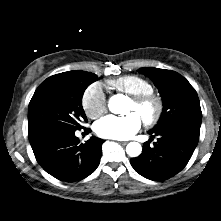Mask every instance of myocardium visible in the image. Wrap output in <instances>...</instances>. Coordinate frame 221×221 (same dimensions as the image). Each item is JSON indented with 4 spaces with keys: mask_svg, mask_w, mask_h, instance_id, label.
<instances>
[{
    "mask_svg": "<svg viewBox=\"0 0 221 221\" xmlns=\"http://www.w3.org/2000/svg\"><path fill=\"white\" fill-rule=\"evenodd\" d=\"M131 102L141 113V118L146 125L157 123L163 114V101L153 92L132 96Z\"/></svg>",
    "mask_w": 221,
    "mask_h": 221,
    "instance_id": "f54148a6",
    "label": "myocardium"
}]
</instances>
